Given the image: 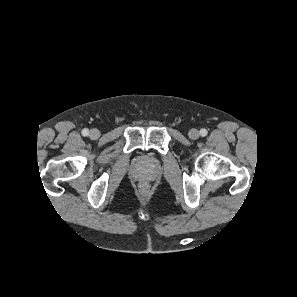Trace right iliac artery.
I'll return each mask as SVG.
<instances>
[{
	"instance_id": "1",
	"label": "right iliac artery",
	"mask_w": 297,
	"mask_h": 297,
	"mask_svg": "<svg viewBox=\"0 0 297 297\" xmlns=\"http://www.w3.org/2000/svg\"><path fill=\"white\" fill-rule=\"evenodd\" d=\"M88 134H89V130L88 129L85 128V129L82 130V135L83 136H87Z\"/></svg>"
}]
</instances>
